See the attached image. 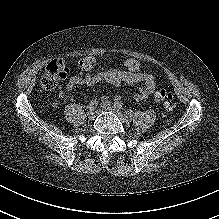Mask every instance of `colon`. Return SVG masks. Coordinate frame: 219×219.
Returning <instances> with one entry per match:
<instances>
[{
	"mask_svg": "<svg viewBox=\"0 0 219 219\" xmlns=\"http://www.w3.org/2000/svg\"><path fill=\"white\" fill-rule=\"evenodd\" d=\"M84 67L90 69L94 66L93 58H85ZM68 68L62 59H54L44 69L40 78V87L43 90L55 89L60 81L65 78ZM155 97L158 101L163 103L166 111H171L174 108L173 96L166 90H159Z\"/></svg>",
	"mask_w": 219,
	"mask_h": 219,
	"instance_id": "5ec220e1",
	"label": "colon"
}]
</instances>
